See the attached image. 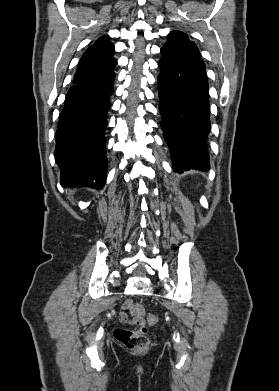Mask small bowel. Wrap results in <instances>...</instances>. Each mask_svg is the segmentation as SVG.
<instances>
[{"label":"small bowel","instance_id":"1","mask_svg":"<svg viewBox=\"0 0 279 391\" xmlns=\"http://www.w3.org/2000/svg\"><path fill=\"white\" fill-rule=\"evenodd\" d=\"M127 311L130 313L128 315ZM120 320L129 325H144V311L138 304H134L131 300H125L122 305V311L119 314Z\"/></svg>","mask_w":279,"mask_h":391}]
</instances>
